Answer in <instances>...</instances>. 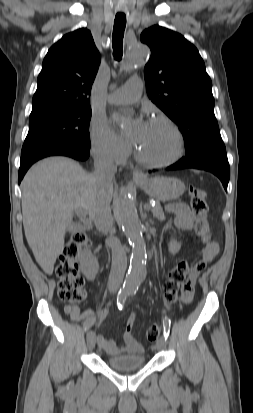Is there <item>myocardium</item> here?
<instances>
[{
	"label": "myocardium",
	"mask_w": 253,
	"mask_h": 413,
	"mask_svg": "<svg viewBox=\"0 0 253 413\" xmlns=\"http://www.w3.org/2000/svg\"><path fill=\"white\" fill-rule=\"evenodd\" d=\"M150 122H162L171 129L176 139V150L174 154L168 159L154 160L146 157L138 148H136V158L145 165L158 168L167 167L176 163L182 157L185 150V141L181 130L171 118L165 115H156L150 119Z\"/></svg>",
	"instance_id": "myocardium-1"
}]
</instances>
